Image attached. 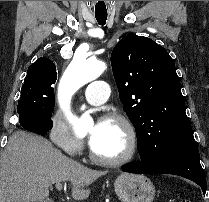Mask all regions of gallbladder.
<instances>
[{
    "mask_svg": "<svg viewBox=\"0 0 209 202\" xmlns=\"http://www.w3.org/2000/svg\"><path fill=\"white\" fill-rule=\"evenodd\" d=\"M35 202H38V201H35ZM42 202H53V201L50 200V199H46V200H44V201H42Z\"/></svg>",
    "mask_w": 209,
    "mask_h": 202,
    "instance_id": "bac80fb5",
    "label": "gallbladder"
}]
</instances>
